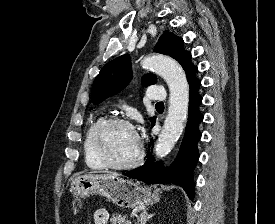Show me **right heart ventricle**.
Here are the masks:
<instances>
[{
	"instance_id": "obj_1",
	"label": "right heart ventricle",
	"mask_w": 275,
	"mask_h": 224,
	"mask_svg": "<svg viewBox=\"0 0 275 224\" xmlns=\"http://www.w3.org/2000/svg\"><path fill=\"white\" fill-rule=\"evenodd\" d=\"M103 120V117L99 116L93 119L87 126L84 140H83V154L84 161L87 167L91 170H102L106 166L102 161L96 156L93 147H92V134L95 127Z\"/></svg>"
}]
</instances>
